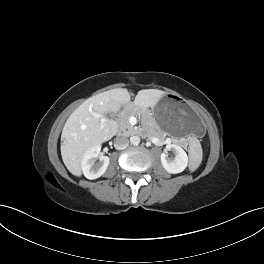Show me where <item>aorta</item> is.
Returning <instances> with one entry per match:
<instances>
[{
    "instance_id": "aorta-1",
    "label": "aorta",
    "mask_w": 264,
    "mask_h": 264,
    "mask_svg": "<svg viewBox=\"0 0 264 264\" xmlns=\"http://www.w3.org/2000/svg\"><path fill=\"white\" fill-rule=\"evenodd\" d=\"M130 143L132 145H138L140 143V137L139 136L130 137Z\"/></svg>"
}]
</instances>
